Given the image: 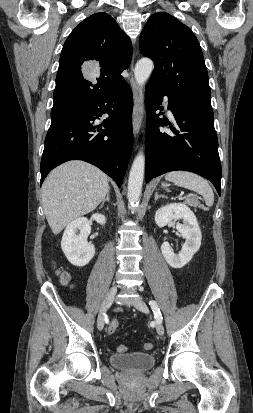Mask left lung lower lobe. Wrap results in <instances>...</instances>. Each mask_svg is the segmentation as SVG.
I'll list each match as a JSON object with an SVG mask.
<instances>
[{
	"label": "left lung lower lobe",
	"instance_id": "obj_1",
	"mask_svg": "<svg viewBox=\"0 0 253 413\" xmlns=\"http://www.w3.org/2000/svg\"><path fill=\"white\" fill-rule=\"evenodd\" d=\"M168 96L157 83L149 80L146 86V182L166 172L185 170L197 173L215 186L221 194L222 168L218 154V140L214 116L191 106L174 101L168 96V109L174 115V135L162 133V119L155 111ZM165 125L167 123L164 122Z\"/></svg>",
	"mask_w": 253,
	"mask_h": 413
}]
</instances>
